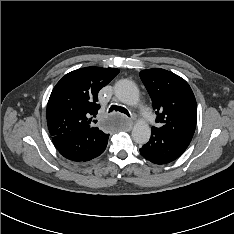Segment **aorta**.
<instances>
[{
  "instance_id": "762f6f07",
  "label": "aorta",
  "mask_w": 234,
  "mask_h": 234,
  "mask_svg": "<svg viewBox=\"0 0 234 234\" xmlns=\"http://www.w3.org/2000/svg\"><path fill=\"white\" fill-rule=\"evenodd\" d=\"M115 96L124 104L133 106L139 102V91L134 82L123 79L115 84ZM151 129L145 121H137L132 130L133 140L142 145L149 141Z\"/></svg>"
}]
</instances>
